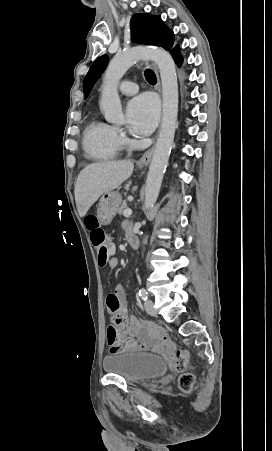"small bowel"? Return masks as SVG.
Returning a JSON list of instances; mask_svg holds the SVG:
<instances>
[{
  "label": "small bowel",
  "instance_id": "small-bowel-1",
  "mask_svg": "<svg viewBox=\"0 0 272 451\" xmlns=\"http://www.w3.org/2000/svg\"><path fill=\"white\" fill-rule=\"evenodd\" d=\"M124 227L126 229V237L128 240V237L134 234L130 230L128 224H125ZM107 266L110 269L116 268L118 266V259L115 257L110 258ZM106 304L112 318L117 314H122L127 319L126 292L122 285L116 286L114 291L108 294ZM119 337L122 339H137L144 347L160 352L159 348L164 344L167 335L161 328L150 323H142L135 316H130L127 319L126 328L119 332Z\"/></svg>",
  "mask_w": 272,
  "mask_h": 451
}]
</instances>
